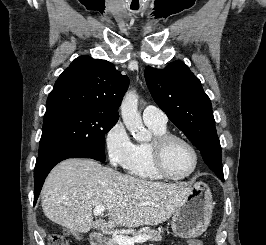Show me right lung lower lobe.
I'll use <instances>...</instances> for the list:
<instances>
[{
  "label": "right lung lower lobe",
  "mask_w": 266,
  "mask_h": 245,
  "mask_svg": "<svg viewBox=\"0 0 266 245\" xmlns=\"http://www.w3.org/2000/svg\"><path fill=\"white\" fill-rule=\"evenodd\" d=\"M68 158H91L98 160L94 155L72 149H56L40 155L34 170V206L39 197L44 180L50 170L60 161ZM99 161V160H98Z\"/></svg>",
  "instance_id": "obj_1"
}]
</instances>
